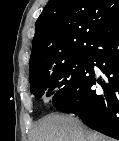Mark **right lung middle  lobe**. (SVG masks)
<instances>
[{
  "instance_id": "dd1d6c3e",
  "label": "right lung middle lobe",
  "mask_w": 119,
  "mask_h": 141,
  "mask_svg": "<svg viewBox=\"0 0 119 141\" xmlns=\"http://www.w3.org/2000/svg\"><path fill=\"white\" fill-rule=\"evenodd\" d=\"M89 66L88 57H78L64 65L30 74L31 92L37 98L52 97L55 107L62 105L72 96Z\"/></svg>"
}]
</instances>
